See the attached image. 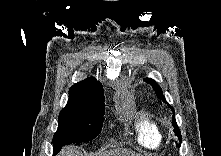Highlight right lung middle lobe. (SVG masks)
I'll use <instances>...</instances> for the list:
<instances>
[{"mask_svg": "<svg viewBox=\"0 0 221 156\" xmlns=\"http://www.w3.org/2000/svg\"><path fill=\"white\" fill-rule=\"evenodd\" d=\"M104 103L66 105L59 114V126L53 138V153L62 146L91 141L99 135L104 121Z\"/></svg>", "mask_w": 221, "mask_h": 156, "instance_id": "dd1d6c3e", "label": "right lung middle lobe"}]
</instances>
